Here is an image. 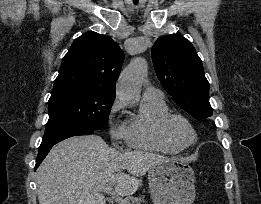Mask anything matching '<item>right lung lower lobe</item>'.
<instances>
[{"instance_id":"98d812e1","label":"right lung lower lobe","mask_w":261,"mask_h":204,"mask_svg":"<svg viewBox=\"0 0 261 204\" xmlns=\"http://www.w3.org/2000/svg\"><path fill=\"white\" fill-rule=\"evenodd\" d=\"M95 130L91 129H85V130H75V131H65V132H59L56 134H52L50 136L43 137L42 143L38 150V156L36 159V168L40 165V163L43 161L45 156L48 154V152L51 150V148L57 144L58 142L67 139L72 136H78V135H90L94 133Z\"/></svg>"}]
</instances>
